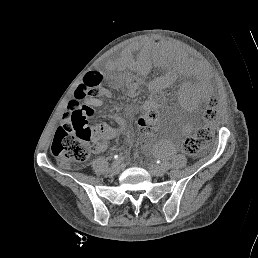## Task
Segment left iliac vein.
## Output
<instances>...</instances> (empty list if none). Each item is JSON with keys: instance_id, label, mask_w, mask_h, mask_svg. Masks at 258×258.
<instances>
[{"instance_id": "4c4485c4", "label": "left iliac vein", "mask_w": 258, "mask_h": 258, "mask_svg": "<svg viewBox=\"0 0 258 258\" xmlns=\"http://www.w3.org/2000/svg\"><path fill=\"white\" fill-rule=\"evenodd\" d=\"M148 170L153 176H162L164 174V169L158 165L148 164Z\"/></svg>"}]
</instances>
